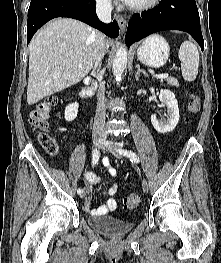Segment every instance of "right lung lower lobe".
<instances>
[{"label": "right lung lower lobe", "mask_w": 221, "mask_h": 263, "mask_svg": "<svg viewBox=\"0 0 221 263\" xmlns=\"http://www.w3.org/2000/svg\"><path fill=\"white\" fill-rule=\"evenodd\" d=\"M55 17L78 19L111 38L119 35V27L115 20L104 24L98 19L95 0H31L28 10L27 44L42 25Z\"/></svg>", "instance_id": "1"}]
</instances>
